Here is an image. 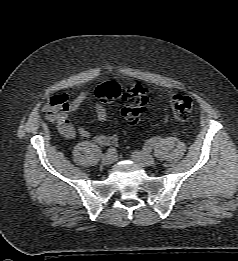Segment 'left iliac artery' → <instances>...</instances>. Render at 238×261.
<instances>
[{
  "label": "left iliac artery",
  "instance_id": "44dca946",
  "mask_svg": "<svg viewBox=\"0 0 238 261\" xmlns=\"http://www.w3.org/2000/svg\"><path fill=\"white\" fill-rule=\"evenodd\" d=\"M160 141H161V137H153L147 141V143L144 146L145 147L144 149L145 150L152 149V148L156 147Z\"/></svg>",
  "mask_w": 238,
  "mask_h": 261
}]
</instances>
